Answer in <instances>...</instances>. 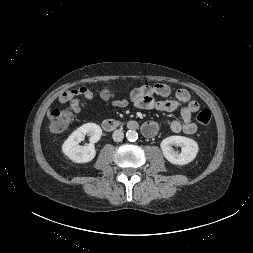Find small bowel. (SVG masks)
I'll return each mask as SVG.
<instances>
[{
    "instance_id": "1",
    "label": "small bowel",
    "mask_w": 253,
    "mask_h": 253,
    "mask_svg": "<svg viewBox=\"0 0 253 253\" xmlns=\"http://www.w3.org/2000/svg\"><path fill=\"white\" fill-rule=\"evenodd\" d=\"M171 93L170 87L165 83H157L153 86H140L130 94V100L134 106L145 110H159L173 112L181 107V120H173L168 123L174 133H185L193 135L197 126L192 120V115L199 110V104L191 100L190 93L186 89H179L174 99H163ZM159 98H157V97ZM93 93L86 87H80L64 92L59 97L60 103H70L73 113L77 114L90 100ZM112 104L116 107H125L128 104L126 99H115ZM143 134L147 137L154 136L158 131V124L155 121H147L142 126Z\"/></svg>"
}]
</instances>
